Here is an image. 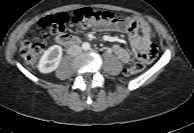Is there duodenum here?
Wrapping results in <instances>:
<instances>
[{
	"mask_svg": "<svg viewBox=\"0 0 194 133\" xmlns=\"http://www.w3.org/2000/svg\"><path fill=\"white\" fill-rule=\"evenodd\" d=\"M56 40L58 44L65 47L74 46L80 43L78 37L69 34H60Z\"/></svg>",
	"mask_w": 194,
	"mask_h": 133,
	"instance_id": "410a0bca",
	"label": "duodenum"
}]
</instances>
